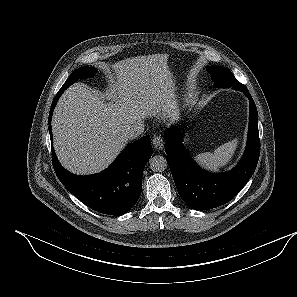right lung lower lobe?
Instances as JSON below:
<instances>
[{
    "mask_svg": "<svg viewBox=\"0 0 297 297\" xmlns=\"http://www.w3.org/2000/svg\"><path fill=\"white\" fill-rule=\"evenodd\" d=\"M65 90L61 88L53 99L49 114V133L52 142L51 118L56 103ZM153 149L150 136L129 144L103 172L78 176L65 170L58 162L52 146V162L61 183L89 208L108 215H122L138 201L142 190L144 167Z\"/></svg>",
    "mask_w": 297,
    "mask_h": 297,
    "instance_id": "98d812e1",
    "label": "right lung lower lobe"
}]
</instances>
